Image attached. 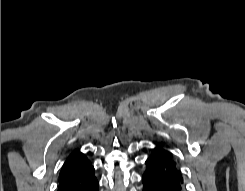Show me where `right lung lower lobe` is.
Wrapping results in <instances>:
<instances>
[{"instance_id":"right-lung-lower-lobe-1","label":"right lung lower lobe","mask_w":245,"mask_h":191,"mask_svg":"<svg viewBox=\"0 0 245 191\" xmlns=\"http://www.w3.org/2000/svg\"><path fill=\"white\" fill-rule=\"evenodd\" d=\"M57 191H99V183L94 175V167L89 166L85 170L59 181Z\"/></svg>"}]
</instances>
